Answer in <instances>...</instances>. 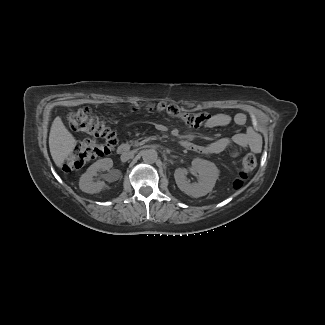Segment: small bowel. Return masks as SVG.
<instances>
[{"mask_svg": "<svg viewBox=\"0 0 325 325\" xmlns=\"http://www.w3.org/2000/svg\"><path fill=\"white\" fill-rule=\"evenodd\" d=\"M207 116L208 120L205 123V128L223 127L230 124L243 126L246 122V116L243 113H237L234 115L217 113L212 115L207 114ZM67 136L72 138V143L74 145H79L81 143L82 133L80 131L69 129L67 131ZM232 148L235 155L240 149H252L253 144L249 134L237 133L231 138H220L202 146L192 145L188 149L196 150L204 154H218Z\"/></svg>", "mask_w": 325, "mask_h": 325, "instance_id": "c3829d8e", "label": "small bowel"}]
</instances>
